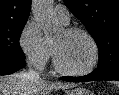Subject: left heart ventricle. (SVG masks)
Instances as JSON below:
<instances>
[{
	"label": "left heart ventricle",
	"mask_w": 119,
	"mask_h": 95,
	"mask_svg": "<svg viewBox=\"0 0 119 95\" xmlns=\"http://www.w3.org/2000/svg\"><path fill=\"white\" fill-rule=\"evenodd\" d=\"M61 64L70 70H83L93 59V48L89 40L80 34L63 31L54 41Z\"/></svg>",
	"instance_id": "b2bd125f"
}]
</instances>
